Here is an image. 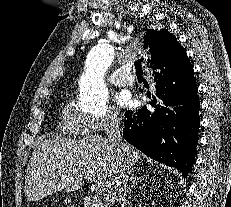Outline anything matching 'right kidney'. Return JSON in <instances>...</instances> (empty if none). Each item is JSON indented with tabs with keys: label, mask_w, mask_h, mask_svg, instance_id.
Segmentation results:
<instances>
[{
	"label": "right kidney",
	"mask_w": 231,
	"mask_h": 207,
	"mask_svg": "<svg viewBox=\"0 0 231 207\" xmlns=\"http://www.w3.org/2000/svg\"><path fill=\"white\" fill-rule=\"evenodd\" d=\"M139 207H142L141 204L139 205ZM143 207H145V206H143Z\"/></svg>",
	"instance_id": "ca27d5eb"
}]
</instances>
